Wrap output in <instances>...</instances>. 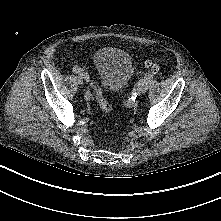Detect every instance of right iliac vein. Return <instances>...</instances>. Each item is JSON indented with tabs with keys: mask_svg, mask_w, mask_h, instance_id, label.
Segmentation results:
<instances>
[{
	"mask_svg": "<svg viewBox=\"0 0 221 221\" xmlns=\"http://www.w3.org/2000/svg\"><path fill=\"white\" fill-rule=\"evenodd\" d=\"M77 81H78V83H79L80 85L83 84V79H82L81 76H78V77H77Z\"/></svg>",
	"mask_w": 221,
	"mask_h": 221,
	"instance_id": "obj_1",
	"label": "right iliac vein"
}]
</instances>
